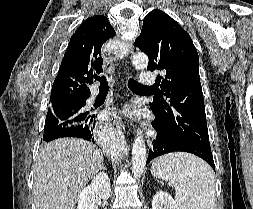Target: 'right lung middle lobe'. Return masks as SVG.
<instances>
[{
    "label": "right lung middle lobe",
    "mask_w": 253,
    "mask_h": 209,
    "mask_svg": "<svg viewBox=\"0 0 253 209\" xmlns=\"http://www.w3.org/2000/svg\"><path fill=\"white\" fill-rule=\"evenodd\" d=\"M85 103L70 105V106H60L48 110L44 133L58 131L59 129L88 122L90 116L88 112L84 111Z\"/></svg>",
    "instance_id": "obj_1"
}]
</instances>
